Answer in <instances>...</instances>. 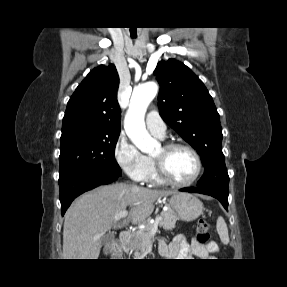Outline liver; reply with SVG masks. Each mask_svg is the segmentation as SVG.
<instances>
[{"mask_svg": "<svg viewBox=\"0 0 287 287\" xmlns=\"http://www.w3.org/2000/svg\"><path fill=\"white\" fill-rule=\"evenodd\" d=\"M174 193L116 183L100 186L83 194L72 203L65 214L64 259H98L101 239L106 231L116 226V214L129 207V216L124 217L118 224L119 227L128 222L142 224L152 214L158 198Z\"/></svg>", "mask_w": 287, "mask_h": 287, "instance_id": "liver-1", "label": "liver"}]
</instances>
